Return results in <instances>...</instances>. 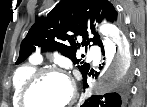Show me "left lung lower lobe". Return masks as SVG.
I'll use <instances>...</instances> for the list:
<instances>
[{
	"label": "left lung lower lobe",
	"instance_id": "obj_1",
	"mask_svg": "<svg viewBox=\"0 0 147 107\" xmlns=\"http://www.w3.org/2000/svg\"><path fill=\"white\" fill-rule=\"evenodd\" d=\"M103 49V48H102ZM104 54V50H103ZM91 75V71L83 76V86L87 87V77ZM129 96V86L126 81L118 84L114 92L106 93L104 95L92 96L85 101L80 107H125Z\"/></svg>",
	"mask_w": 147,
	"mask_h": 107
}]
</instances>
